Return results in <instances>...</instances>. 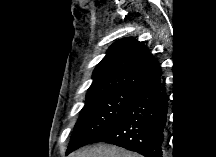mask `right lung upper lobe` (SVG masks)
I'll use <instances>...</instances> for the list:
<instances>
[{
  "label": "right lung upper lobe",
  "mask_w": 216,
  "mask_h": 157,
  "mask_svg": "<svg viewBox=\"0 0 216 157\" xmlns=\"http://www.w3.org/2000/svg\"><path fill=\"white\" fill-rule=\"evenodd\" d=\"M162 74L161 68L142 42L123 38L113 43L93 71L86 98L116 89L145 86Z\"/></svg>",
  "instance_id": "cb5924a9"
}]
</instances>
